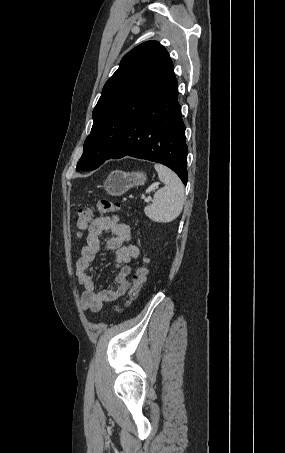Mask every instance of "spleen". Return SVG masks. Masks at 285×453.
<instances>
[{"instance_id": "3e777b00", "label": "spleen", "mask_w": 285, "mask_h": 453, "mask_svg": "<svg viewBox=\"0 0 285 453\" xmlns=\"http://www.w3.org/2000/svg\"><path fill=\"white\" fill-rule=\"evenodd\" d=\"M159 179L165 186L154 194L152 204L145 207V215L155 222L168 223L176 219L184 205V186L180 178L162 164H155Z\"/></svg>"}]
</instances>
